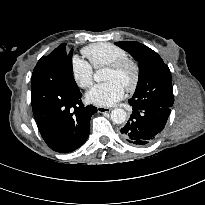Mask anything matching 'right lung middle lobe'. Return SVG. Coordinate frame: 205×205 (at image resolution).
Instances as JSON below:
<instances>
[{"instance_id":"dd1d6c3e","label":"right lung middle lobe","mask_w":205,"mask_h":205,"mask_svg":"<svg viewBox=\"0 0 205 205\" xmlns=\"http://www.w3.org/2000/svg\"><path fill=\"white\" fill-rule=\"evenodd\" d=\"M64 46H65V44H64ZM46 57H47V56H43V57L38 61L37 65H38L39 63H41L42 61H44V60L46 59Z\"/></svg>"}]
</instances>
